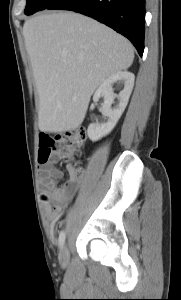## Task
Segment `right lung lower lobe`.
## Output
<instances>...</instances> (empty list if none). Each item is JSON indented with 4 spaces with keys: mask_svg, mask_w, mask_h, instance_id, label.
I'll use <instances>...</instances> for the list:
<instances>
[{
    "mask_svg": "<svg viewBox=\"0 0 181 300\" xmlns=\"http://www.w3.org/2000/svg\"><path fill=\"white\" fill-rule=\"evenodd\" d=\"M46 9L71 10L92 17L144 51L145 0H55Z\"/></svg>",
    "mask_w": 181,
    "mask_h": 300,
    "instance_id": "98d812e1",
    "label": "right lung lower lobe"
}]
</instances>
